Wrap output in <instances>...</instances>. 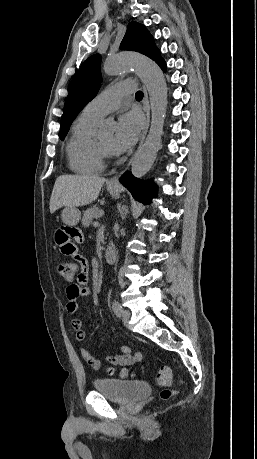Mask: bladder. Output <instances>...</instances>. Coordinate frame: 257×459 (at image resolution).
<instances>
[{
    "mask_svg": "<svg viewBox=\"0 0 257 459\" xmlns=\"http://www.w3.org/2000/svg\"><path fill=\"white\" fill-rule=\"evenodd\" d=\"M93 386L108 399L125 405L136 403L150 394L149 385L139 380L96 378Z\"/></svg>",
    "mask_w": 257,
    "mask_h": 459,
    "instance_id": "bladder-1",
    "label": "bladder"
}]
</instances>
